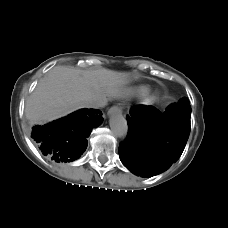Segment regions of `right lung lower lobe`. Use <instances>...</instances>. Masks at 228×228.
<instances>
[{
  "mask_svg": "<svg viewBox=\"0 0 228 228\" xmlns=\"http://www.w3.org/2000/svg\"><path fill=\"white\" fill-rule=\"evenodd\" d=\"M97 109H80L67 117L44 126H34L31 138L44 155L56 162H70L79 158L87 147V137L103 118Z\"/></svg>",
  "mask_w": 228,
  "mask_h": 228,
  "instance_id": "98d812e1",
  "label": "right lung lower lobe"
}]
</instances>
